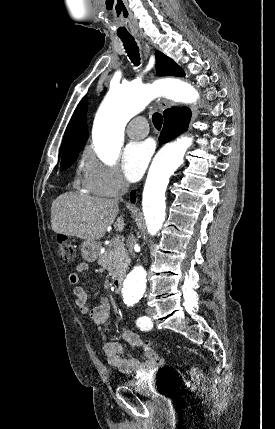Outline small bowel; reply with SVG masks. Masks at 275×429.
Here are the masks:
<instances>
[{"mask_svg": "<svg viewBox=\"0 0 275 429\" xmlns=\"http://www.w3.org/2000/svg\"><path fill=\"white\" fill-rule=\"evenodd\" d=\"M88 264L81 262L77 266V272L83 273L88 270ZM69 282L74 286L73 294L75 297V304L79 308L82 314H89L92 322L97 325L103 335L106 338V332L103 329V325L107 322L110 317V306L109 301L106 298H101L97 306L90 308L87 303V296L84 289L79 284V276L76 273L69 275ZM123 342L119 341H106L104 344V353L106 355L107 362L115 369L124 374H142L155 369V363L151 361L142 362L134 358H124L123 354L128 349L137 347H145L148 343L144 341L139 335L124 328L122 330Z\"/></svg>", "mask_w": 275, "mask_h": 429, "instance_id": "obj_1", "label": "small bowel"}]
</instances>
